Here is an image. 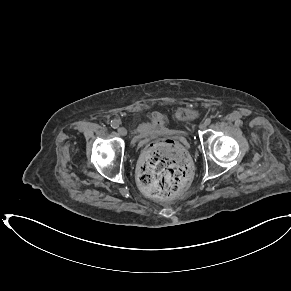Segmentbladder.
Returning a JSON list of instances; mask_svg holds the SVG:
<instances>
[{"label":"bladder","instance_id":"31cf9c89","mask_svg":"<svg viewBox=\"0 0 291 291\" xmlns=\"http://www.w3.org/2000/svg\"><path fill=\"white\" fill-rule=\"evenodd\" d=\"M169 129L166 118L163 114H156L151 121L138 125L136 133L143 136H156L165 133Z\"/></svg>","mask_w":291,"mask_h":291}]
</instances>
